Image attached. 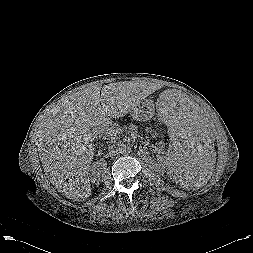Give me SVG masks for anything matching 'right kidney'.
Returning a JSON list of instances; mask_svg holds the SVG:
<instances>
[{
	"label": "right kidney",
	"mask_w": 253,
	"mask_h": 253,
	"mask_svg": "<svg viewBox=\"0 0 253 253\" xmlns=\"http://www.w3.org/2000/svg\"><path fill=\"white\" fill-rule=\"evenodd\" d=\"M95 173V171H93V173L92 174H94ZM99 175V174H98ZM93 180H94V178H93Z\"/></svg>",
	"instance_id": "1"
}]
</instances>
